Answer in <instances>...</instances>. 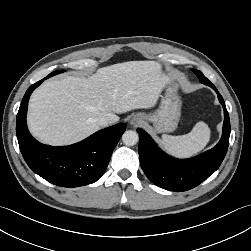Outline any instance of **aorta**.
Returning a JSON list of instances; mask_svg holds the SVG:
<instances>
[{
    "mask_svg": "<svg viewBox=\"0 0 251 251\" xmlns=\"http://www.w3.org/2000/svg\"><path fill=\"white\" fill-rule=\"evenodd\" d=\"M139 140L138 133L136 131L128 130L122 135V141L127 146H133L137 144Z\"/></svg>",
    "mask_w": 251,
    "mask_h": 251,
    "instance_id": "aorta-1",
    "label": "aorta"
}]
</instances>
